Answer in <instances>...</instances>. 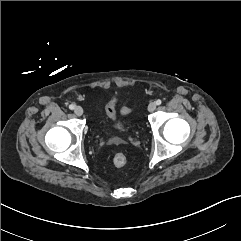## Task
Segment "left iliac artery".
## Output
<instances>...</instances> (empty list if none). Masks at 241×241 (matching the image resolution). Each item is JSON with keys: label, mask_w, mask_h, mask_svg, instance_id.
Instances as JSON below:
<instances>
[{"label": "left iliac artery", "mask_w": 241, "mask_h": 241, "mask_svg": "<svg viewBox=\"0 0 241 241\" xmlns=\"http://www.w3.org/2000/svg\"><path fill=\"white\" fill-rule=\"evenodd\" d=\"M162 103V101L160 100V99H158L157 101H156V104L157 105H160Z\"/></svg>", "instance_id": "44dca946"}]
</instances>
